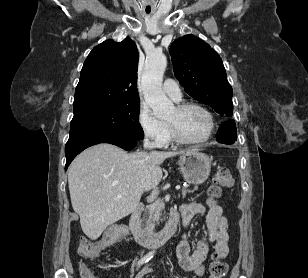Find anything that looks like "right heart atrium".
Listing matches in <instances>:
<instances>
[{
	"instance_id": "d8ad5b80",
	"label": "right heart atrium",
	"mask_w": 308,
	"mask_h": 278,
	"mask_svg": "<svg viewBox=\"0 0 308 278\" xmlns=\"http://www.w3.org/2000/svg\"><path fill=\"white\" fill-rule=\"evenodd\" d=\"M137 120L144 139L151 145L163 147L169 142V126L156 118L147 106H140Z\"/></svg>"
}]
</instances>
